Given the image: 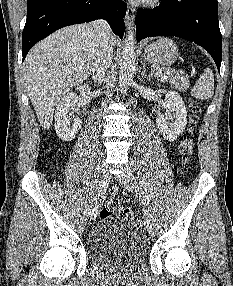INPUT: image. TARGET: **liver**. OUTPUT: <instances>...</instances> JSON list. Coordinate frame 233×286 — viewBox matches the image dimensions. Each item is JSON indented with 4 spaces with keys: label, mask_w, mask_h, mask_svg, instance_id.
Listing matches in <instances>:
<instances>
[{
    "label": "liver",
    "mask_w": 233,
    "mask_h": 286,
    "mask_svg": "<svg viewBox=\"0 0 233 286\" xmlns=\"http://www.w3.org/2000/svg\"><path fill=\"white\" fill-rule=\"evenodd\" d=\"M98 30L93 24L65 27L36 44L24 64V81L41 126L49 129L62 95L92 71ZM111 35V44L116 45Z\"/></svg>",
    "instance_id": "obj_1"
}]
</instances>
